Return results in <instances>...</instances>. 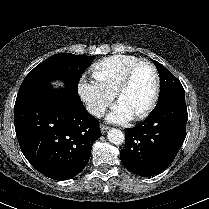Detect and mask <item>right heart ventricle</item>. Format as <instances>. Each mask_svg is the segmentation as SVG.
<instances>
[{"label": "right heart ventricle", "mask_w": 209, "mask_h": 209, "mask_svg": "<svg viewBox=\"0 0 209 209\" xmlns=\"http://www.w3.org/2000/svg\"><path fill=\"white\" fill-rule=\"evenodd\" d=\"M139 59L131 55H114L97 62L92 68L94 78L105 88L115 92L126 71Z\"/></svg>", "instance_id": "1"}]
</instances>
